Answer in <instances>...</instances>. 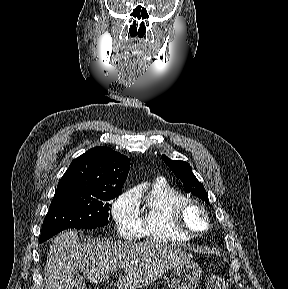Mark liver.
<instances>
[{
    "label": "liver",
    "instance_id": "1",
    "mask_svg": "<svg viewBox=\"0 0 288 289\" xmlns=\"http://www.w3.org/2000/svg\"><path fill=\"white\" fill-rule=\"evenodd\" d=\"M192 258L174 245L158 242L123 243L89 239L80 243L75 231H65L51 242L44 270L45 289H73L74 274L81 270L89 282L110 280L118 289H139Z\"/></svg>",
    "mask_w": 288,
    "mask_h": 289
}]
</instances>
